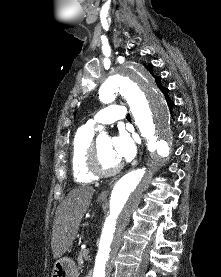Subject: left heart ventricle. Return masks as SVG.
Masks as SVG:
<instances>
[{
    "mask_svg": "<svg viewBox=\"0 0 221 277\" xmlns=\"http://www.w3.org/2000/svg\"><path fill=\"white\" fill-rule=\"evenodd\" d=\"M99 162L104 170H111L115 168L120 161L114 154L111 139L108 137H101L98 139Z\"/></svg>",
    "mask_w": 221,
    "mask_h": 277,
    "instance_id": "left-heart-ventricle-1",
    "label": "left heart ventricle"
}]
</instances>
